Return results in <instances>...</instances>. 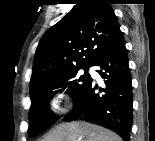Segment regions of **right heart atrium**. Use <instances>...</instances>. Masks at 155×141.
<instances>
[{"label":"right heart atrium","mask_w":155,"mask_h":141,"mask_svg":"<svg viewBox=\"0 0 155 141\" xmlns=\"http://www.w3.org/2000/svg\"><path fill=\"white\" fill-rule=\"evenodd\" d=\"M66 100V96L63 93H55L50 101H49V107L53 112H61L63 111L64 102Z\"/></svg>","instance_id":"obj_1"}]
</instances>
